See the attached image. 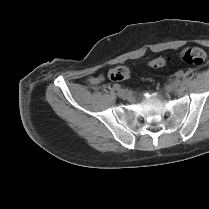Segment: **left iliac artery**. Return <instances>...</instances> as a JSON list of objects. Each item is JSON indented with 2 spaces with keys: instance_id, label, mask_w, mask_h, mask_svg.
I'll return each instance as SVG.
<instances>
[{
  "instance_id": "left-iliac-artery-1",
  "label": "left iliac artery",
  "mask_w": 209,
  "mask_h": 209,
  "mask_svg": "<svg viewBox=\"0 0 209 209\" xmlns=\"http://www.w3.org/2000/svg\"><path fill=\"white\" fill-rule=\"evenodd\" d=\"M177 76H178L179 78H182V77L184 76V73H183L182 71H179V72L177 73Z\"/></svg>"
}]
</instances>
